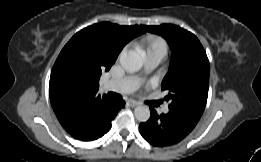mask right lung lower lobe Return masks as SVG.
I'll list each match as a JSON object with an SVG mask.
<instances>
[{"label": "right lung lower lobe", "mask_w": 261, "mask_h": 162, "mask_svg": "<svg viewBox=\"0 0 261 162\" xmlns=\"http://www.w3.org/2000/svg\"><path fill=\"white\" fill-rule=\"evenodd\" d=\"M123 106V100L107 102L97 108L92 114L81 119L73 129L67 132L78 140H96L110 130L111 121Z\"/></svg>", "instance_id": "right-lung-lower-lobe-1"}]
</instances>
